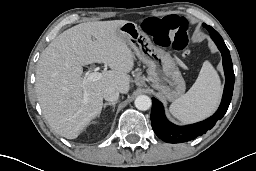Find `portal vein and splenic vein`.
<instances>
[{"instance_id": "1", "label": "portal vein and splenic vein", "mask_w": 256, "mask_h": 171, "mask_svg": "<svg viewBox=\"0 0 256 171\" xmlns=\"http://www.w3.org/2000/svg\"><path fill=\"white\" fill-rule=\"evenodd\" d=\"M103 73L100 72H90L84 77V83L91 82V81H97L102 78ZM87 100L86 93L84 94V101Z\"/></svg>"}]
</instances>
